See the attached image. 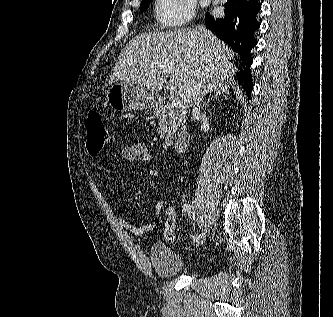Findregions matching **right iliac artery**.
Here are the masks:
<instances>
[{"mask_svg":"<svg viewBox=\"0 0 333 317\" xmlns=\"http://www.w3.org/2000/svg\"><path fill=\"white\" fill-rule=\"evenodd\" d=\"M183 208H184V210L188 213V214H190V208H189V205L187 204V203H185L184 205H183ZM199 239V235H193L192 236V240L193 241H197Z\"/></svg>","mask_w":333,"mask_h":317,"instance_id":"1","label":"right iliac artery"}]
</instances>
